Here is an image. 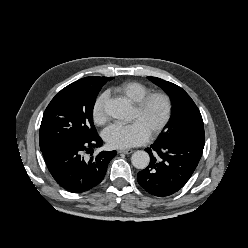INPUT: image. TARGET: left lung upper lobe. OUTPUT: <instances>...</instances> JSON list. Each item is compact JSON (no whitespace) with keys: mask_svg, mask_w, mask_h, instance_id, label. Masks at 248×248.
<instances>
[{"mask_svg":"<svg viewBox=\"0 0 248 248\" xmlns=\"http://www.w3.org/2000/svg\"><path fill=\"white\" fill-rule=\"evenodd\" d=\"M148 79L168 93L173 106L171 123L158 141L164 142L182 137L205 141L202 116L186 91L160 78L148 77Z\"/></svg>","mask_w":248,"mask_h":248,"instance_id":"obj_1","label":"left lung upper lobe"}]
</instances>
